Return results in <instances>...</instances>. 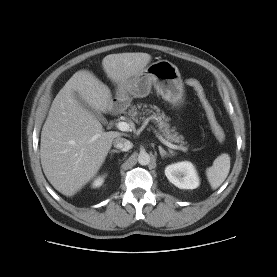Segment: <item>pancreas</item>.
Masks as SVG:
<instances>
[{"label": "pancreas", "instance_id": "1", "mask_svg": "<svg viewBox=\"0 0 277 277\" xmlns=\"http://www.w3.org/2000/svg\"><path fill=\"white\" fill-rule=\"evenodd\" d=\"M140 109L141 112L139 111ZM128 115L136 123L145 122L146 120L154 121L165 140L170 143H178L181 146L184 145V137L178 135L174 128H170V124L168 123L170 119L157 106L150 105V108H148L146 104L143 106L142 104L134 105L129 109Z\"/></svg>", "mask_w": 277, "mask_h": 277}]
</instances>
